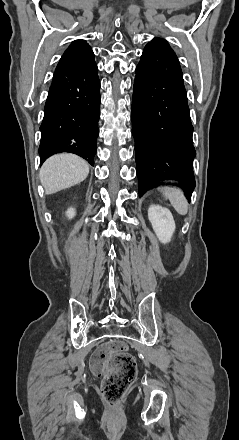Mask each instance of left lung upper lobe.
<instances>
[{
  "instance_id": "obj_1",
  "label": "left lung upper lobe",
  "mask_w": 239,
  "mask_h": 440,
  "mask_svg": "<svg viewBox=\"0 0 239 440\" xmlns=\"http://www.w3.org/2000/svg\"><path fill=\"white\" fill-rule=\"evenodd\" d=\"M151 44L161 45V46H165V47L171 49V47L168 45L167 41L164 40V39L155 38L150 43H148L147 45H151Z\"/></svg>"
}]
</instances>
